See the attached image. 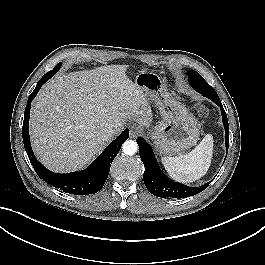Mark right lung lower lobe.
Listing matches in <instances>:
<instances>
[{"instance_id": "obj_1", "label": "right lung lower lobe", "mask_w": 265, "mask_h": 265, "mask_svg": "<svg viewBox=\"0 0 265 265\" xmlns=\"http://www.w3.org/2000/svg\"><path fill=\"white\" fill-rule=\"evenodd\" d=\"M53 74H45L37 83L34 91L28 98L24 114L22 136L25 150L37 175L45 182L63 190V192L75 195H88L98 192L106 182L110 166L115 156L120 151L122 144L129 137V130H124L114 141H112L100 156L85 170L67 174L53 173L46 169L36 158L32 151L29 137V117L31 102L37 95L41 86Z\"/></svg>"}]
</instances>
